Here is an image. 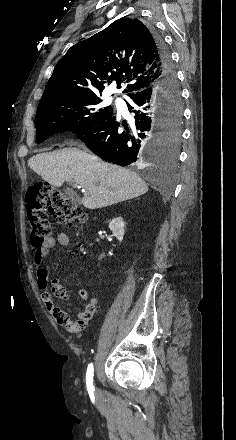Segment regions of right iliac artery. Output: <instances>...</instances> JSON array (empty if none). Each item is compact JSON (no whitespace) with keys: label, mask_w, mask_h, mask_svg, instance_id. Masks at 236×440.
<instances>
[{"label":"right iliac artery","mask_w":236,"mask_h":440,"mask_svg":"<svg viewBox=\"0 0 236 440\" xmlns=\"http://www.w3.org/2000/svg\"><path fill=\"white\" fill-rule=\"evenodd\" d=\"M93 375H94V368L93 364H89L86 372V386L89 393L94 392V385H93Z\"/></svg>","instance_id":"obj_1"}]
</instances>
